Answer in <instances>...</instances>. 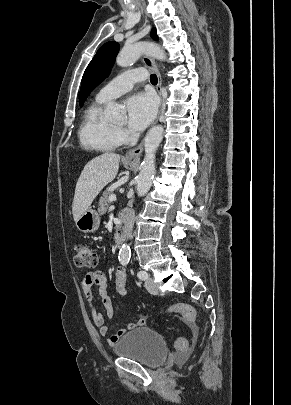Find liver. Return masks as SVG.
I'll list each match as a JSON object with an SVG mask.
<instances>
[{"label": "liver", "mask_w": 291, "mask_h": 405, "mask_svg": "<svg viewBox=\"0 0 291 405\" xmlns=\"http://www.w3.org/2000/svg\"><path fill=\"white\" fill-rule=\"evenodd\" d=\"M120 156L106 152L89 161L77 181L72 205L76 222L90 207L102 189L112 182L119 169Z\"/></svg>", "instance_id": "1"}]
</instances>
